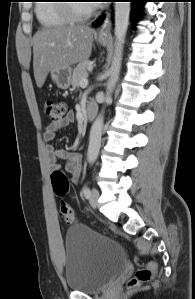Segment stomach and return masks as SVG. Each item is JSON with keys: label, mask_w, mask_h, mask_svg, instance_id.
Wrapping results in <instances>:
<instances>
[{"label": "stomach", "mask_w": 195, "mask_h": 299, "mask_svg": "<svg viewBox=\"0 0 195 299\" xmlns=\"http://www.w3.org/2000/svg\"><path fill=\"white\" fill-rule=\"evenodd\" d=\"M99 42L102 45L107 44V39L99 37ZM52 81L60 88V89H68L70 87L72 81V69L71 67H66L58 70L50 71Z\"/></svg>", "instance_id": "1"}]
</instances>
